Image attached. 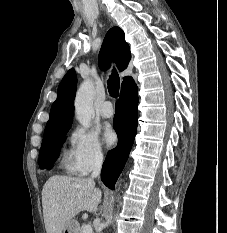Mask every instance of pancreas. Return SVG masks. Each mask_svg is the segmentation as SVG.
<instances>
[{
    "label": "pancreas",
    "instance_id": "obj_1",
    "mask_svg": "<svg viewBox=\"0 0 227 233\" xmlns=\"http://www.w3.org/2000/svg\"><path fill=\"white\" fill-rule=\"evenodd\" d=\"M83 226L79 229V232L78 233H83Z\"/></svg>",
    "mask_w": 227,
    "mask_h": 233
}]
</instances>
